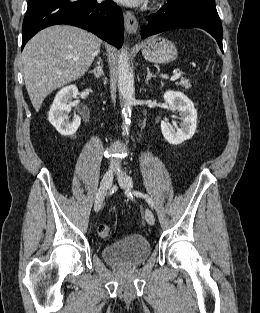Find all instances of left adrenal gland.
<instances>
[{
	"label": "left adrenal gland",
	"instance_id": "a2214340",
	"mask_svg": "<svg viewBox=\"0 0 260 313\" xmlns=\"http://www.w3.org/2000/svg\"><path fill=\"white\" fill-rule=\"evenodd\" d=\"M155 77H156V76L153 75V74L150 72L149 68L147 67V77H146V80H145L146 84H148V82H149V80H150L151 78H155Z\"/></svg>",
	"mask_w": 260,
	"mask_h": 313
}]
</instances>
